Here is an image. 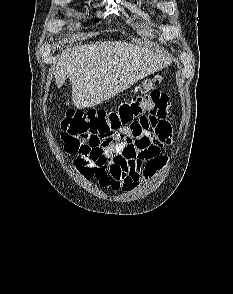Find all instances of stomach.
Wrapping results in <instances>:
<instances>
[{
    "mask_svg": "<svg viewBox=\"0 0 233 294\" xmlns=\"http://www.w3.org/2000/svg\"><path fill=\"white\" fill-rule=\"evenodd\" d=\"M154 80L151 78H145L143 81H141L138 85V88L150 90L154 87Z\"/></svg>",
    "mask_w": 233,
    "mask_h": 294,
    "instance_id": "stomach-1",
    "label": "stomach"
}]
</instances>
